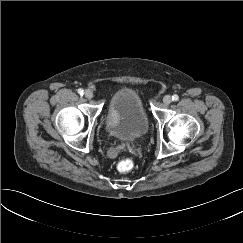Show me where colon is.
Returning <instances> with one entry per match:
<instances>
[{"mask_svg":"<svg viewBox=\"0 0 243 243\" xmlns=\"http://www.w3.org/2000/svg\"><path fill=\"white\" fill-rule=\"evenodd\" d=\"M132 168L133 162L130 159H123L117 165V169L122 173L129 172L132 170Z\"/></svg>","mask_w":243,"mask_h":243,"instance_id":"1","label":"colon"}]
</instances>
